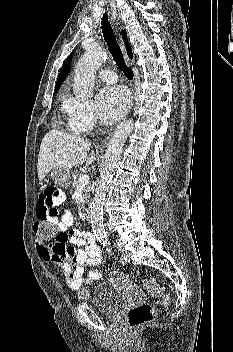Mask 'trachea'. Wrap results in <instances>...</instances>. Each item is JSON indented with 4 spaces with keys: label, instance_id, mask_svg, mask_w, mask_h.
<instances>
[{
    "label": "trachea",
    "instance_id": "3493384b",
    "mask_svg": "<svg viewBox=\"0 0 233 352\" xmlns=\"http://www.w3.org/2000/svg\"><path fill=\"white\" fill-rule=\"evenodd\" d=\"M101 25L103 37L108 45V48L114 61L116 62V65H118V67L123 71L124 75L128 79H133V71L126 65L124 61L122 51L119 45L117 44L112 26L108 21V16L106 13L103 14Z\"/></svg>",
    "mask_w": 233,
    "mask_h": 352
}]
</instances>
